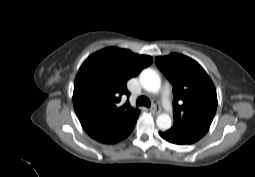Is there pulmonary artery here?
<instances>
[{"mask_svg": "<svg viewBox=\"0 0 255 177\" xmlns=\"http://www.w3.org/2000/svg\"><path fill=\"white\" fill-rule=\"evenodd\" d=\"M160 96H161V102L164 109L168 113H171L173 111V105L171 100V88L169 84H165L164 88L161 91Z\"/></svg>", "mask_w": 255, "mask_h": 177, "instance_id": "obj_1", "label": "pulmonary artery"}]
</instances>
